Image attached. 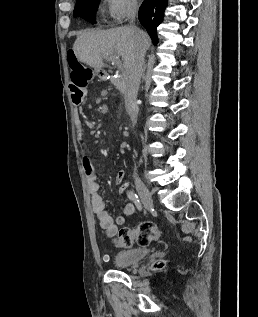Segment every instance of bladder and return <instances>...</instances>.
Listing matches in <instances>:
<instances>
[{
  "label": "bladder",
  "instance_id": "1",
  "mask_svg": "<svg viewBox=\"0 0 258 317\" xmlns=\"http://www.w3.org/2000/svg\"><path fill=\"white\" fill-rule=\"evenodd\" d=\"M149 253L150 250L147 248L122 250L114 255L113 261L117 267H130L142 261Z\"/></svg>",
  "mask_w": 258,
  "mask_h": 317
}]
</instances>
